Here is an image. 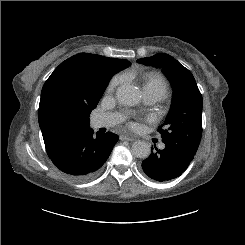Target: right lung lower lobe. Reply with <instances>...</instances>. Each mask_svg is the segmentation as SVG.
Wrapping results in <instances>:
<instances>
[{"instance_id": "1", "label": "right lung lower lobe", "mask_w": 245, "mask_h": 245, "mask_svg": "<svg viewBox=\"0 0 245 245\" xmlns=\"http://www.w3.org/2000/svg\"><path fill=\"white\" fill-rule=\"evenodd\" d=\"M117 141L118 136L110 132L94 137L89 127L66 141L49 158L73 179L85 181L99 172Z\"/></svg>"}]
</instances>
